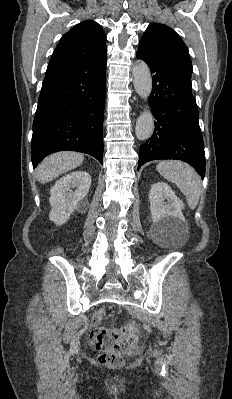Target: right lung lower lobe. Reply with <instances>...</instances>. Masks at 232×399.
Wrapping results in <instances>:
<instances>
[{"label": "right lung lower lobe", "instance_id": "obj_1", "mask_svg": "<svg viewBox=\"0 0 232 399\" xmlns=\"http://www.w3.org/2000/svg\"><path fill=\"white\" fill-rule=\"evenodd\" d=\"M106 56L49 62L33 122V167L63 150L94 156L103 163Z\"/></svg>", "mask_w": 232, "mask_h": 399}]
</instances>
